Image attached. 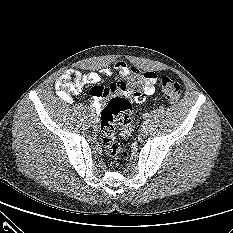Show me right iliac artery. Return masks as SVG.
Listing matches in <instances>:
<instances>
[{
    "label": "right iliac artery",
    "mask_w": 233,
    "mask_h": 233,
    "mask_svg": "<svg viewBox=\"0 0 233 233\" xmlns=\"http://www.w3.org/2000/svg\"><path fill=\"white\" fill-rule=\"evenodd\" d=\"M88 114H89L90 117L94 116L95 115L94 114V110L93 109H89L88 110Z\"/></svg>",
    "instance_id": "82829eb1"
}]
</instances>
